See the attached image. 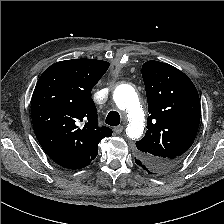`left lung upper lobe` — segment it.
Returning <instances> with one entry per match:
<instances>
[{"label":"left lung upper lobe","instance_id":"5c2ea615","mask_svg":"<svg viewBox=\"0 0 224 224\" xmlns=\"http://www.w3.org/2000/svg\"><path fill=\"white\" fill-rule=\"evenodd\" d=\"M149 117L144 138L136 142L139 159L153 173L168 172L186 156L199 127L201 106L189 77L159 61L142 66Z\"/></svg>","mask_w":224,"mask_h":224}]
</instances>
